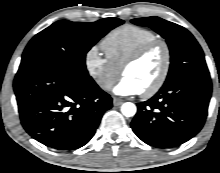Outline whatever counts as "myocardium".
Returning <instances> with one entry per match:
<instances>
[{
  "label": "myocardium",
  "mask_w": 220,
  "mask_h": 173,
  "mask_svg": "<svg viewBox=\"0 0 220 173\" xmlns=\"http://www.w3.org/2000/svg\"><path fill=\"white\" fill-rule=\"evenodd\" d=\"M159 47L163 48V50H164V65H163V68H162V71H161L159 77L154 82V84L149 89L142 92V96L144 98H149V97L156 95L162 89V87L164 86V84L169 76L171 64H172V51H171L169 44L166 41L161 40V39L153 40V41L143 45L138 50H136L125 61V63L122 66V73H124V71L128 67L138 63L143 58H145L151 51H153L154 49L159 48Z\"/></svg>",
  "instance_id": "obj_1"
}]
</instances>
